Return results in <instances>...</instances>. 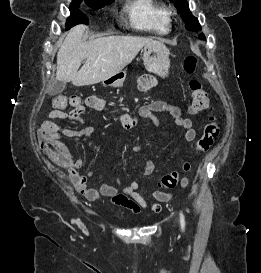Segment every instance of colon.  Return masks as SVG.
<instances>
[{"mask_svg": "<svg viewBox=\"0 0 261 273\" xmlns=\"http://www.w3.org/2000/svg\"><path fill=\"white\" fill-rule=\"evenodd\" d=\"M196 67V57L189 56L184 60L183 68L186 73L192 75L195 72ZM188 86L192 98L190 107L191 112L198 113L210 108L208 94L203 88L202 83L196 78H191L188 82ZM53 106L61 109L71 107V110L69 111L70 116L80 117L84 109V102L80 96L73 95L67 98L64 95H56L53 98ZM219 133L220 127L218 120L215 117H210L204 125L201 137L195 144L196 151L205 152L209 150L214 144L216 138L219 136ZM37 136L41 148L50 156L51 159L65 165L70 163V158L68 157L64 146L57 140L55 132L48 130L42 124L38 129ZM190 168V164L186 162L182 167V172H188ZM180 177V171H172L164 175L160 180L161 188L166 190L174 189L178 185Z\"/></svg>", "mask_w": 261, "mask_h": 273, "instance_id": "1", "label": "colon"}]
</instances>
